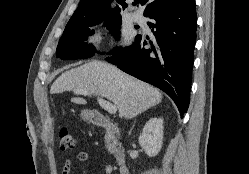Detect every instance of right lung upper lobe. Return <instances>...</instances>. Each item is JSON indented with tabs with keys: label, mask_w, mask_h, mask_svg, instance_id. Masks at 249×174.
Listing matches in <instances>:
<instances>
[{
	"label": "right lung upper lobe",
	"mask_w": 249,
	"mask_h": 174,
	"mask_svg": "<svg viewBox=\"0 0 249 174\" xmlns=\"http://www.w3.org/2000/svg\"><path fill=\"white\" fill-rule=\"evenodd\" d=\"M112 1L113 0H81L78 8L75 10L67 25L95 21L109 17H121V9L127 7L125 0H116L121 5V8L117 6L115 9L111 10L109 4ZM190 1L192 0H138L133 4H147L144 10V16L148 17L161 9L174 5H181Z\"/></svg>",
	"instance_id": "obj_1"
}]
</instances>
